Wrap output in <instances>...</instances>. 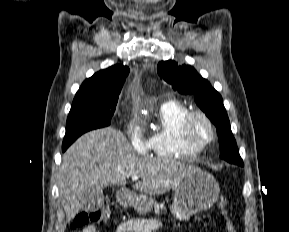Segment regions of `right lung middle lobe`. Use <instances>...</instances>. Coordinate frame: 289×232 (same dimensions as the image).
<instances>
[{"instance_id": "dd1d6c3e", "label": "right lung middle lobe", "mask_w": 289, "mask_h": 232, "mask_svg": "<svg viewBox=\"0 0 289 232\" xmlns=\"http://www.w3.org/2000/svg\"><path fill=\"white\" fill-rule=\"evenodd\" d=\"M118 97L75 98L68 115L62 150H66L83 133L109 126Z\"/></svg>"}]
</instances>
